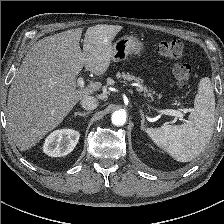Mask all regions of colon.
<instances>
[{
  "mask_svg": "<svg viewBox=\"0 0 224 224\" xmlns=\"http://www.w3.org/2000/svg\"><path fill=\"white\" fill-rule=\"evenodd\" d=\"M158 52L167 59L175 61L173 68L174 78L181 88H187L192 77V67L183 60L185 53L184 43L180 40H164L158 44Z\"/></svg>",
  "mask_w": 224,
  "mask_h": 224,
  "instance_id": "5ec220e1",
  "label": "colon"
}]
</instances>
